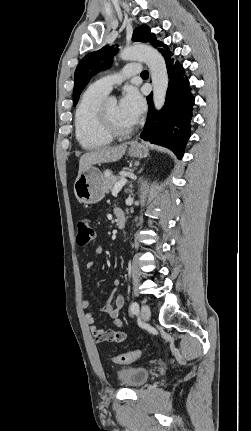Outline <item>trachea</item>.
<instances>
[{
	"instance_id": "1",
	"label": "trachea",
	"mask_w": 251,
	"mask_h": 431,
	"mask_svg": "<svg viewBox=\"0 0 251 431\" xmlns=\"http://www.w3.org/2000/svg\"><path fill=\"white\" fill-rule=\"evenodd\" d=\"M141 75H148V71H143L142 73H141Z\"/></svg>"
}]
</instances>
